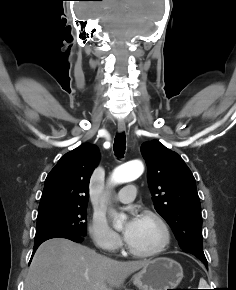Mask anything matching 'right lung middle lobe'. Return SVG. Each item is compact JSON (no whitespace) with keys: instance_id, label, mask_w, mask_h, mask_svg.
I'll list each match as a JSON object with an SVG mask.
<instances>
[{"instance_id":"dd1d6c3e","label":"right lung middle lobe","mask_w":236,"mask_h":290,"mask_svg":"<svg viewBox=\"0 0 236 290\" xmlns=\"http://www.w3.org/2000/svg\"><path fill=\"white\" fill-rule=\"evenodd\" d=\"M86 218V206H50L39 209L34 242L57 236H86Z\"/></svg>"}]
</instances>
